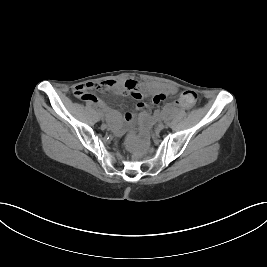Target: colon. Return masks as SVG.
Here are the masks:
<instances>
[{
  "label": "colon",
  "instance_id": "1",
  "mask_svg": "<svg viewBox=\"0 0 267 267\" xmlns=\"http://www.w3.org/2000/svg\"><path fill=\"white\" fill-rule=\"evenodd\" d=\"M125 85H126L127 91L131 95H138L139 94V86L137 85L136 82L129 80L126 82ZM92 90H98L101 92H106L107 87L105 86L104 82L86 83V84H84V85H82L76 89L77 97L81 100L91 99L93 97V95L90 91H92ZM164 98H165V96L161 94V95L156 96L154 98V101L156 103H159L162 100H164ZM197 98H198V96L194 91L186 90L180 95L178 103L183 107L190 108L196 103Z\"/></svg>",
  "mask_w": 267,
  "mask_h": 267
}]
</instances>
